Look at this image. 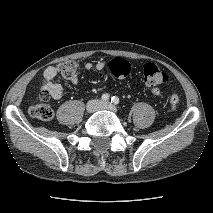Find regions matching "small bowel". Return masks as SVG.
<instances>
[{
  "mask_svg": "<svg viewBox=\"0 0 213 213\" xmlns=\"http://www.w3.org/2000/svg\"><path fill=\"white\" fill-rule=\"evenodd\" d=\"M106 66H107V61L100 60L96 62L95 64L91 62L86 63L85 68L87 70H91V69L103 70L105 69ZM57 73H58L57 67L55 66L47 67L43 73L44 83L42 85V89L47 91L49 95L55 100L61 99L63 96L62 85L55 81V77L57 76ZM71 80L72 82H76L77 78L74 77ZM151 92L153 95L157 96L160 94V89L157 87H154L152 88Z\"/></svg>",
  "mask_w": 213,
  "mask_h": 213,
  "instance_id": "small-bowel-1",
  "label": "small bowel"
}]
</instances>
